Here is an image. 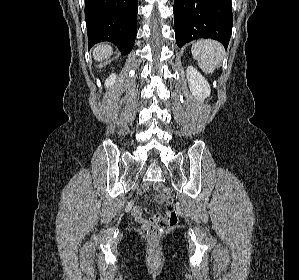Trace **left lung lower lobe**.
<instances>
[{
	"label": "left lung lower lobe",
	"instance_id": "1",
	"mask_svg": "<svg viewBox=\"0 0 299 280\" xmlns=\"http://www.w3.org/2000/svg\"><path fill=\"white\" fill-rule=\"evenodd\" d=\"M232 25L231 0H174V26L179 47L198 38L215 39L227 47Z\"/></svg>",
	"mask_w": 299,
	"mask_h": 280
}]
</instances>
